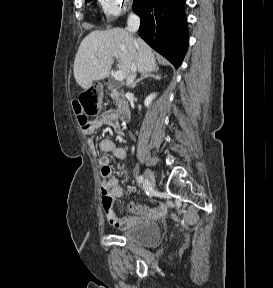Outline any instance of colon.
Masks as SVG:
<instances>
[{
    "label": "colon",
    "instance_id": "5ec220e1",
    "mask_svg": "<svg viewBox=\"0 0 273 288\" xmlns=\"http://www.w3.org/2000/svg\"><path fill=\"white\" fill-rule=\"evenodd\" d=\"M73 109L80 126L86 129L90 124L89 117L100 112L101 100L99 93L96 90L81 93L73 101Z\"/></svg>",
    "mask_w": 273,
    "mask_h": 288
}]
</instances>
